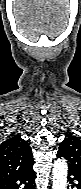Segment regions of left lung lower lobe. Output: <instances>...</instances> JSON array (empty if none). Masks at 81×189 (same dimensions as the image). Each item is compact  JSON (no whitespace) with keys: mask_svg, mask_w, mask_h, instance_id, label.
<instances>
[{"mask_svg":"<svg viewBox=\"0 0 81 189\" xmlns=\"http://www.w3.org/2000/svg\"><path fill=\"white\" fill-rule=\"evenodd\" d=\"M59 158V157H58ZM69 180L71 183H73L74 180L78 181V184H76L75 186L77 187V189H81V177H78L72 173H69Z\"/></svg>","mask_w":81,"mask_h":189,"instance_id":"0a47b994","label":"left lung lower lobe"}]
</instances>
